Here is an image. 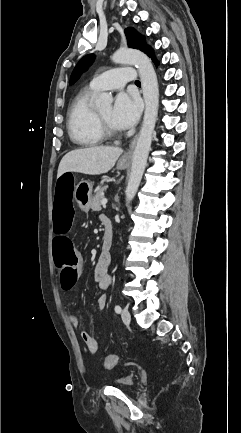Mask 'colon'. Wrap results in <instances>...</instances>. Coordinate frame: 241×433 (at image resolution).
I'll use <instances>...</instances> for the list:
<instances>
[{"label":"colon","mask_w":241,"mask_h":433,"mask_svg":"<svg viewBox=\"0 0 241 433\" xmlns=\"http://www.w3.org/2000/svg\"><path fill=\"white\" fill-rule=\"evenodd\" d=\"M73 173L61 172L56 179L55 194L52 201L53 224L55 234L51 242V249L55 255V262L61 270V281L64 289L69 290L74 285L79 257L74 249V242L71 234H66L72 226L74 210L69 207L71 195H73ZM117 363V357L109 354L103 359V365L107 369L113 368Z\"/></svg>","instance_id":"colon-1"}]
</instances>
